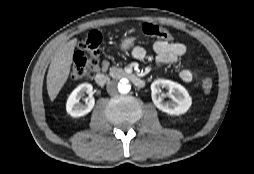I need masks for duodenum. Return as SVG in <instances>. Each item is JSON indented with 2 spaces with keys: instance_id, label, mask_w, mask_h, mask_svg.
Here are the masks:
<instances>
[{
  "instance_id": "410a0bca",
  "label": "duodenum",
  "mask_w": 254,
  "mask_h": 174,
  "mask_svg": "<svg viewBox=\"0 0 254 174\" xmlns=\"http://www.w3.org/2000/svg\"><path fill=\"white\" fill-rule=\"evenodd\" d=\"M125 77L129 78L131 80V82L139 87V88H142L145 86V81L144 79H142L141 77L139 76H136L135 74L133 73H129V72H125L123 74ZM95 81L96 83L99 85V86H104L108 83L109 81V76L105 73H102V72H99L95 75Z\"/></svg>"
}]
</instances>
